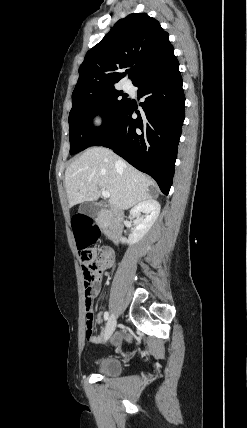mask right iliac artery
<instances>
[{
    "mask_svg": "<svg viewBox=\"0 0 247 428\" xmlns=\"http://www.w3.org/2000/svg\"><path fill=\"white\" fill-rule=\"evenodd\" d=\"M108 318H109V313H108V312H105V314H104V319H105V321H106V320H108Z\"/></svg>",
    "mask_w": 247,
    "mask_h": 428,
    "instance_id": "1",
    "label": "right iliac artery"
}]
</instances>
